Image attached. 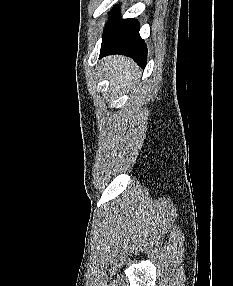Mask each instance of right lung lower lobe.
<instances>
[{
  "label": "right lung lower lobe",
  "mask_w": 233,
  "mask_h": 286,
  "mask_svg": "<svg viewBox=\"0 0 233 286\" xmlns=\"http://www.w3.org/2000/svg\"><path fill=\"white\" fill-rule=\"evenodd\" d=\"M118 10V7H115ZM122 54L129 56L144 68L146 66L147 47L139 35V23L136 19H122L117 14L107 24L100 51V57Z\"/></svg>",
  "instance_id": "right-lung-lower-lobe-1"
}]
</instances>
